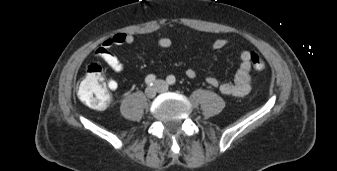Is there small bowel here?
I'll list each match as a JSON object with an SVG mask.
<instances>
[{
    "instance_id": "c3829d8e",
    "label": "small bowel",
    "mask_w": 337,
    "mask_h": 171,
    "mask_svg": "<svg viewBox=\"0 0 337 171\" xmlns=\"http://www.w3.org/2000/svg\"><path fill=\"white\" fill-rule=\"evenodd\" d=\"M135 38L132 34L126 32H119L113 36L106 38L96 50V56L102 59L106 65L114 72L120 73L124 70L123 62L111 52L113 46L130 45L133 44ZM157 44L161 48H170L173 44L172 40L168 37H162L158 39ZM230 44L228 39L220 38L211 42L212 49L219 50L227 47ZM251 52L248 50H242L239 54L240 64L235 73L234 79L229 82L221 83L217 77L208 76L206 82L208 85L214 88H218L224 95L242 97L247 95L251 90V69L252 64L250 61ZM188 78L193 79L196 77L197 72L193 68H188L185 71ZM107 85L110 90L115 91L118 88V82L113 78L107 79Z\"/></svg>"
}]
</instances>
